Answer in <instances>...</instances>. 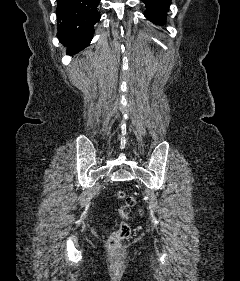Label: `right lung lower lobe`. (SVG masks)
<instances>
[{
	"mask_svg": "<svg viewBox=\"0 0 240 281\" xmlns=\"http://www.w3.org/2000/svg\"><path fill=\"white\" fill-rule=\"evenodd\" d=\"M100 0H58V35L73 55L89 45L94 25L100 19L97 6Z\"/></svg>",
	"mask_w": 240,
	"mask_h": 281,
	"instance_id": "1",
	"label": "right lung lower lobe"
}]
</instances>
